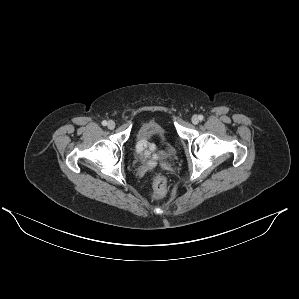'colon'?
Segmentation results:
<instances>
[{"mask_svg": "<svg viewBox=\"0 0 299 299\" xmlns=\"http://www.w3.org/2000/svg\"><path fill=\"white\" fill-rule=\"evenodd\" d=\"M167 193V181L162 175H155L152 179V191L150 193L151 198L159 199Z\"/></svg>", "mask_w": 299, "mask_h": 299, "instance_id": "colon-1", "label": "colon"}]
</instances>
